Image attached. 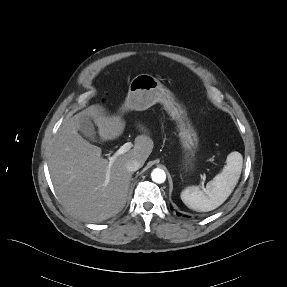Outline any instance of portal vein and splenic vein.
Instances as JSON below:
<instances>
[{"mask_svg": "<svg viewBox=\"0 0 287 287\" xmlns=\"http://www.w3.org/2000/svg\"><path fill=\"white\" fill-rule=\"evenodd\" d=\"M132 147V143L131 142H126L125 144H123L110 158H109V168L111 167V165L113 164V162L121 155L125 154L126 152H128ZM202 187H204V181L202 182Z\"/></svg>", "mask_w": 287, "mask_h": 287, "instance_id": "portal-vein-and-splenic-vein-1", "label": "portal vein and splenic vein"}]
</instances>
